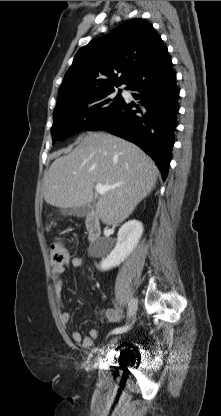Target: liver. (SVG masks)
<instances>
[{"mask_svg": "<svg viewBox=\"0 0 221 416\" xmlns=\"http://www.w3.org/2000/svg\"><path fill=\"white\" fill-rule=\"evenodd\" d=\"M51 164L43 181L46 203L67 209L94 200L95 185H119L100 194L95 213L106 225L127 219L157 182L158 168L138 146L104 132H88Z\"/></svg>", "mask_w": 221, "mask_h": 416, "instance_id": "liver-1", "label": "liver"}]
</instances>
